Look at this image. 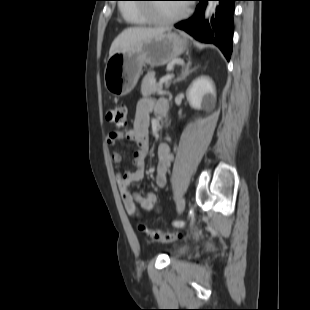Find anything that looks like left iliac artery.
<instances>
[{
    "label": "left iliac artery",
    "instance_id": "left-iliac-artery-1",
    "mask_svg": "<svg viewBox=\"0 0 310 310\" xmlns=\"http://www.w3.org/2000/svg\"><path fill=\"white\" fill-rule=\"evenodd\" d=\"M186 222L184 220H178V221H174L173 225L177 226V227H183L185 226Z\"/></svg>",
    "mask_w": 310,
    "mask_h": 310
}]
</instances>
